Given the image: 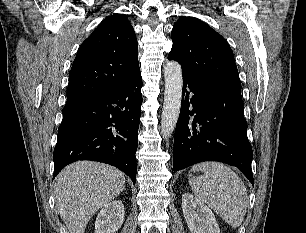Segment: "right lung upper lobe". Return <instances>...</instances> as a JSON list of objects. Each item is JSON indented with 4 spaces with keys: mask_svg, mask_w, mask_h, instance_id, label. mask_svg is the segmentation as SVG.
<instances>
[{
    "mask_svg": "<svg viewBox=\"0 0 306 233\" xmlns=\"http://www.w3.org/2000/svg\"><path fill=\"white\" fill-rule=\"evenodd\" d=\"M138 44L123 14L106 17L82 43L73 62L65 107L109 95L140 72Z\"/></svg>",
    "mask_w": 306,
    "mask_h": 233,
    "instance_id": "obj_1",
    "label": "right lung upper lobe"
}]
</instances>
